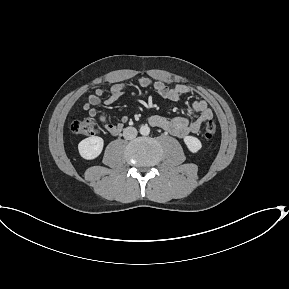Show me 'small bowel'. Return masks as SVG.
Here are the masks:
<instances>
[{
    "instance_id": "c3829d8e",
    "label": "small bowel",
    "mask_w": 289,
    "mask_h": 289,
    "mask_svg": "<svg viewBox=\"0 0 289 289\" xmlns=\"http://www.w3.org/2000/svg\"><path fill=\"white\" fill-rule=\"evenodd\" d=\"M138 84L141 87H153L159 97L171 101H178L182 96L192 93L190 87L184 84L168 87L165 82L161 80H152L148 77H142L138 79ZM126 89V83L116 82L110 87L109 96L104 99L106 90L103 88H98L94 94L89 96L84 105V110L88 112L90 117H97L95 106L100 104L109 106L113 104L125 94ZM192 108L197 113V116L192 120L184 116L167 118L160 115H152L148 118V121L151 125L157 128H161L175 137L185 138L189 135L198 133L203 124L211 120L213 117L211 109L208 107L207 102L204 100H194L192 102ZM127 120L128 118L124 116L118 123L114 124L108 121L105 116H99V121L103 128L111 135H117L120 133L124 123Z\"/></svg>"
}]
</instances>
